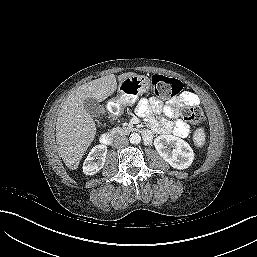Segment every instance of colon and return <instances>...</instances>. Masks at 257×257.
<instances>
[{
	"label": "colon",
	"mask_w": 257,
	"mask_h": 257,
	"mask_svg": "<svg viewBox=\"0 0 257 257\" xmlns=\"http://www.w3.org/2000/svg\"><path fill=\"white\" fill-rule=\"evenodd\" d=\"M151 86L154 94L161 99H168L177 95L182 90V83L164 75L156 74L151 79ZM184 120L194 125H201L204 122V114L199 107H186L182 111Z\"/></svg>",
	"instance_id": "5ec220e1"
}]
</instances>
